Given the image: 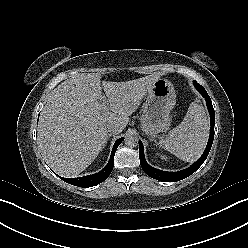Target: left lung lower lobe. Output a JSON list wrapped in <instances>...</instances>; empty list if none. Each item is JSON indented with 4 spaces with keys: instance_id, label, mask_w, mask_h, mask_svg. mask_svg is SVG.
I'll use <instances>...</instances> for the list:
<instances>
[{
    "instance_id": "left-lung-lower-lobe-1",
    "label": "left lung lower lobe",
    "mask_w": 248,
    "mask_h": 248,
    "mask_svg": "<svg viewBox=\"0 0 248 248\" xmlns=\"http://www.w3.org/2000/svg\"><path fill=\"white\" fill-rule=\"evenodd\" d=\"M193 83H194V86L196 87V89L205 98L206 104H207V107L209 110V114H210V121H211L210 136H209V140H208V144L206 146V149H205L204 153L202 154V156L195 163H193L190 167H188L182 171H178V172H166V171H161V170H158V169L151 167L145 161L144 147H143L142 142L139 141L140 165H141L142 169L144 170V172L153 179L163 181V182L180 181V180L190 176L191 174H193L196 170H198L200 168V166L204 163V161L206 160V158L209 154V151L211 149L213 139H214V126H215L214 108H213L211 99H210L209 95L207 94L206 90L204 89V87L201 86L200 84H198L196 81H194Z\"/></svg>"
}]
</instances>
